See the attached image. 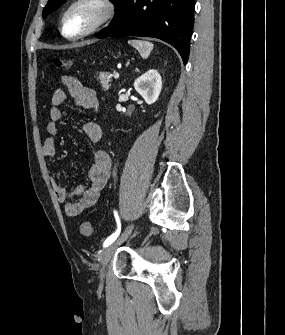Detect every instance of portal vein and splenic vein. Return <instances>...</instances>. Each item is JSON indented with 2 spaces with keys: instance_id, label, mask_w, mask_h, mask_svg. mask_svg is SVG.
<instances>
[{
  "instance_id": "18ae733b",
  "label": "portal vein and splenic vein",
  "mask_w": 285,
  "mask_h": 335,
  "mask_svg": "<svg viewBox=\"0 0 285 335\" xmlns=\"http://www.w3.org/2000/svg\"><path fill=\"white\" fill-rule=\"evenodd\" d=\"M113 76H114V78H116V80H117V78H119V74H118V72H115V74H113Z\"/></svg>"
}]
</instances>
